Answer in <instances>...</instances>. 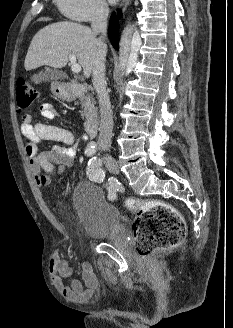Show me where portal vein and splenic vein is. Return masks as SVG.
Returning <instances> with one entry per match:
<instances>
[{
  "label": "portal vein and splenic vein",
  "mask_w": 233,
  "mask_h": 328,
  "mask_svg": "<svg viewBox=\"0 0 233 328\" xmlns=\"http://www.w3.org/2000/svg\"><path fill=\"white\" fill-rule=\"evenodd\" d=\"M69 60L72 64L71 70L73 73H79L81 71V66L77 63L76 56L74 54L69 55Z\"/></svg>",
  "instance_id": "1"
}]
</instances>
